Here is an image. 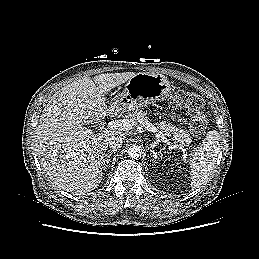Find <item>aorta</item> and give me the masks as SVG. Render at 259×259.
Wrapping results in <instances>:
<instances>
[{
  "label": "aorta",
  "mask_w": 259,
  "mask_h": 259,
  "mask_svg": "<svg viewBox=\"0 0 259 259\" xmlns=\"http://www.w3.org/2000/svg\"><path fill=\"white\" fill-rule=\"evenodd\" d=\"M128 154L131 158L133 159H137L139 157H141L143 155V149L141 146L139 145H132L129 149H128Z\"/></svg>",
  "instance_id": "obj_1"
}]
</instances>
